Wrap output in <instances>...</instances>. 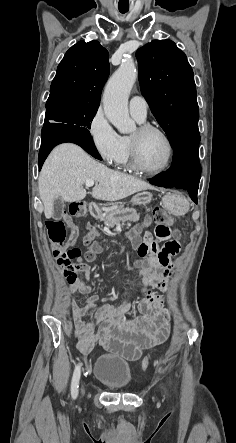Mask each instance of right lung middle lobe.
Here are the masks:
<instances>
[{
    "instance_id": "obj_1",
    "label": "right lung middle lobe",
    "mask_w": 236,
    "mask_h": 443,
    "mask_svg": "<svg viewBox=\"0 0 236 443\" xmlns=\"http://www.w3.org/2000/svg\"><path fill=\"white\" fill-rule=\"evenodd\" d=\"M98 107L88 106L68 100L46 103L44 126L50 123L70 125L73 131L91 136L89 129Z\"/></svg>"
}]
</instances>
